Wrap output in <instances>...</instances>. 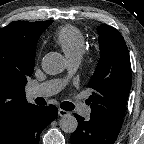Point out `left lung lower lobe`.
Instances as JSON below:
<instances>
[{"instance_id":"left-lung-lower-lobe-1","label":"left lung lower lobe","mask_w":144,"mask_h":144,"mask_svg":"<svg viewBox=\"0 0 144 144\" xmlns=\"http://www.w3.org/2000/svg\"><path fill=\"white\" fill-rule=\"evenodd\" d=\"M78 127L71 135L72 144H114L120 130L110 127L90 117L86 121L75 115Z\"/></svg>"}]
</instances>
